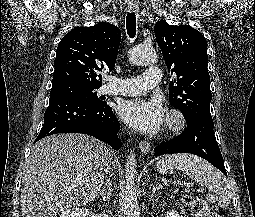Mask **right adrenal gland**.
I'll use <instances>...</instances> for the list:
<instances>
[{
    "mask_svg": "<svg viewBox=\"0 0 255 217\" xmlns=\"http://www.w3.org/2000/svg\"><path fill=\"white\" fill-rule=\"evenodd\" d=\"M112 194V183L110 178L106 179L104 183V188L100 190L97 194L98 197H102L103 201L105 202L108 198H110Z\"/></svg>",
    "mask_w": 255,
    "mask_h": 217,
    "instance_id": "1",
    "label": "right adrenal gland"
}]
</instances>
